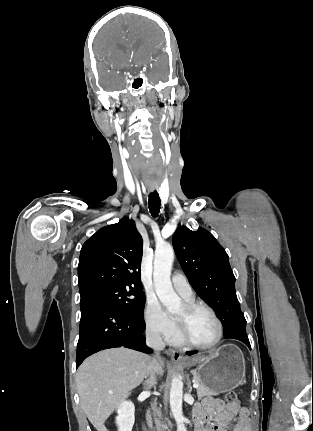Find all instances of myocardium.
<instances>
[{
  "label": "myocardium",
  "instance_id": "1",
  "mask_svg": "<svg viewBox=\"0 0 313 431\" xmlns=\"http://www.w3.org/2000/svg\"><path fill=\"white\" fill-rule=\"evenodd\" d=\"M200 310H205L208 313H210V315L215 320V322L217 324V328H218V334H217L216 339L212 343L206 344V345L197 344V343L193 342L189 338L188 333H187V327H188L189 319L191 318V316L193 314H195L196 312H198ZM175 323H176L177 334H178V337H179L181 343L188 346V347H191V348L202 349V350L212 349V348L216 347L221 342V340L223 338L224 329H223V324H222L220 318L218 317L216 312L211 307H209L205 304L194 303V302L186 303L184 305V314L180 317H175Z\"/></svg>",
  "mask_w": 313,
  "mask_h": 431
}]
</instances>
